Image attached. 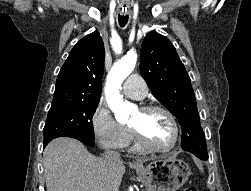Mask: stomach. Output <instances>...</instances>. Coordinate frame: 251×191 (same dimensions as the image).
Listing matches in <instances>:
<instances>
[{"label":"stomach","mask_w":251,"mask_h":191,"mask_svg":"<svg viewBox=\"0 0 251 191\" xmlns=\"http://www.w3.org/2000/svg\"><path fill=\"white\" fill-rule=\"evenodd\" d=\"M134 169L147 191H176L191 175L188 163L173 155H157L146 167L141 163Z\"/></svg>","instance_id":"0dacf381"}]
</instances>
